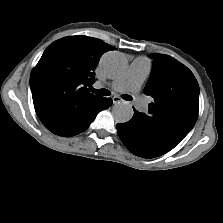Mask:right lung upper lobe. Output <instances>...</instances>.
Returning <instances> with one entry per match:
<instances>
[{
    "instance_id": "cb5924a9",
    "label": "right lung upper lobe",
    "mask_w": 223,
    "mask_h": 223,
    "mask_svg": "<svg viewBox=\"0 0 223 223\" xmlns=\"http://www.w3.org/2000/svg\"><path fill=\"white\" fill-rule=\"evenodd\" d=\"M113 49L83 35L47 47L30 77L34 107L47 129L70 132L91 120L103 98L89 91L94 69L103 53Z\"/></svg>"
}]
</instances>
